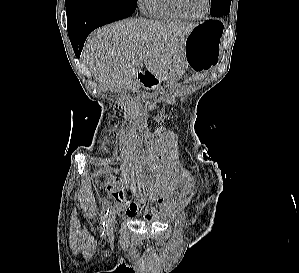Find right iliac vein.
Listing matches in <instances>:
<instances>
[{
    "instance_id": "63e3f726",
    "label": "right iliac vein",
    "mask_w": 299,
    "mask_h": 273,
    "mask_svg": "<svg viewBox=\"0 0 299 273\" xmlns=\"http://www.w3.org/2000/svg\"><path fill=\"white\" fill-rule=\"evenodd\" d=\"M116 212L115 210H111L108 217V231H111L114 227Z\"/></svg>"
}]
</instances>
